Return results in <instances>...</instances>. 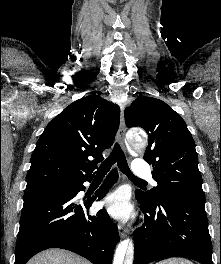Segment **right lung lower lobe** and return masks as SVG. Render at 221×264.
<instances>
[{
    "mask_svg": "<svg viewBox=\"0 0 221 264\" xmlns=\"http://www.w3.org/2000/svg\"><path fill=\"white\" fill-rule=\"evenodd\" d=\"M117 178V172L112 171L96 196L83 202L75 196L91 179L77 182L71 192L25 195L14 264H26L36 253L52 247L70 250L93 264H111L119 241L117 226L105 210L90 215L88 209L105 196Z\"/></svg>",
    "mask_w": 221,
    "mask_h": 264,
    "instance_id": "obj_1",
    "label": "right lung lower lobe"
}]
</instances>
